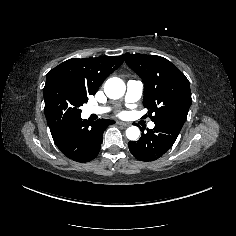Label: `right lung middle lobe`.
Returning <instances> with one entry per match:
<instances>
[{
    "instance_id": "dd1d6c3e",
    "label": "right lung middle lobe",
    "mask_w": 236,
    "mask_h": 236,
    "mask_svg": "<svg viewBox=\"0 0 236 236\" xmlns=\"http://www.w3.org/2000/svg\"><path fill=\"white\" fill-rule=\"evenodd\" d=\"M43 94L44 111L50 130L80 116V106L88 101L86 94L64 79H53L46 82Z\"/></svg>"
}]
</instances>
